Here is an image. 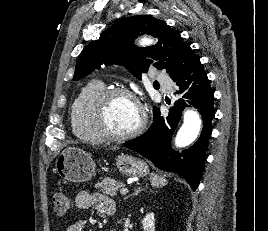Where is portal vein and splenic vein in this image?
I'll return each instance as SVG.
<instances>
[{"label":"portal vein and splenic vein","mask_w":268,"mask_h":231,"mask_svg":"<svg viewBox=\"0 0 268 231\" xmlns=\"http://www.w3.org/2000/svg\"><path fill=\"white\" fill-rule=\"evenodd\" d=\"M120 193H121L122 195H125V194L128 193V189H127V188H122V189L120 190Z\"/></svg>","instance_id":"portal-vein-and-splenic-vein-1"}]
</instances>
